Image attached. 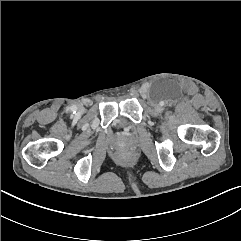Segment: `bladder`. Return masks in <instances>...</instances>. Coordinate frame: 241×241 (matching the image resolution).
I'll return each mask as SVG.
<instances>
[{"label":"bladder","instance_id":"obj_1","mask_svg":"<svg viewBox=\"0 0 241 241\" xmlns=\"http://www.w3.org/2000/svg\"><path fill=\"white\" fill-rule=\"evenodd\" d=\"M118 124H119V125H124V124H125V120L122 119V118H120V119L118 120Z\"/></svg>","mask_w":241,"mask_h":241}]
</instances>
